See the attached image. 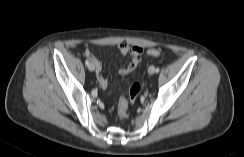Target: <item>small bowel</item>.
I'll use <instances>...</instances> for the list:
<instances>
[{"instance_id":"1","label":"small bowel","mask_w":244,"mask_h":157,"mask_svg":"<svg viewBox=\"0 0 244 157\" xmlns=\"http://www.w3.org/2000/svg\"><path fill=\"white\" fill-rule=\"evenodd\" d=\"M118 50L121 54L127 55L129 54L131 56V60L128 63L127 66L120 68L118 72L122 75H126L131 73L136 69V67L139 65L142 59V52L143 49L139 46H130L126 43H121L118 45ZM85 56L90 60L91 63H93L96 71V77L99 82V84L102 87L107 86V79L102 74V63L101 61L94 55L93 51L91 49H86L84 51Z\"/></svg>"}]
</instances>
